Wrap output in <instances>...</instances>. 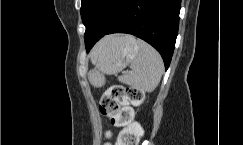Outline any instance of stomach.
Wrapping results in <instances>:
<instances>
[{
  "instance_id": "obj_1",
  "label": "stomach",
  "mask_w": 243,
  "mask_h": 145,
  "mask_svg": "<svg viewBox=\"0 0 243 145\" xmlns=\"http://www.w3.org/2000/svg\"><path fill=\"white\" fill-rule=\"evenodd\" d=\"M139 52L137 40L129 35L116 34L104 38L92 54L94 68L89 72V81L99 87L105 83V74L121 71Z\"/></svg>"
}]
</instances>
